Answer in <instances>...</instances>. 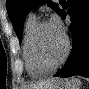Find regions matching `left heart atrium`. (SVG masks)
I'll return each instance as SVG.
<instances>
[{
    "label": "left heart atrium",
    "mask_w": 89,
    "mask_h": 89,
    "mask_svg": "<svg viewBox=\"0 0 89 89\" xmlns=\"http://www.w3.org/2000/svg\"><path fill=\"white\" fill-rule=\"evenodd\" d=\"M50 24L52 25V27L62 36H64V30H63V26L60 22V20L57 17H53L50 21Z\"/></svg>",
    "instance_id": "39dd6f15"
}]
</instances>
